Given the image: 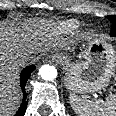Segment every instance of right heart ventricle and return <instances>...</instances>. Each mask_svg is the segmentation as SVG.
<instances>
[{"instance_id": "e07e8e85", "label": "right heart ventricle", "mask_w": 116, "mask_h": 116, "mask_svg": "<svg viewBox=\"0 0 116 116\" xmlns=\"http://www.w3.org/2000/svg\"><path fill=\"white\" fill-rule=\"evenodd\" d=\"M79 25L76 20H65L53 23L44 32V39L46 41H56L60 38L70 35L73 33Z\"/></svg>"}]
</instances>
